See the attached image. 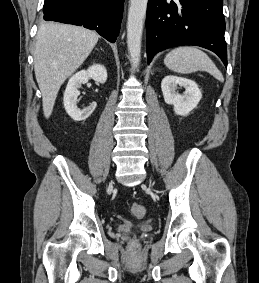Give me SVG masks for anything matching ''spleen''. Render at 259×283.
I'll return each mask as SVG.
<instances>
[{
  "instance_id": "1",
  "label": "spleen",
  "mask_w": 259,
  "mask_h": 283,
  "mask_svg": "<svg viewBox=\"0 0 259 283\" xmlns=\"http://www.w3.org/2000/svg\"><path fill=\"white\" fill-rule=\"evenodd\" d=\"M164 64L172 71L189 74L195 71H206L217 80L223 82L222 73L206 53L195 47H178L170 51Z\"/></svg>"
}]
</instances>
